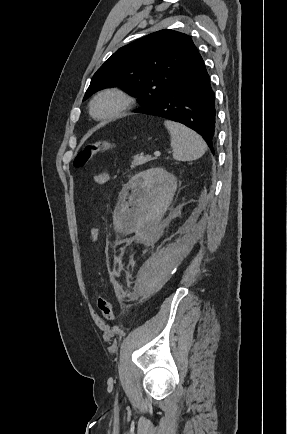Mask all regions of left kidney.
<instances>
[{
	"label": "left kidney",
	"mask_w": 287,
	"mask_h": 434,
	"mask_svg": "<svg viewBox=\"0 0 287 434\" xmlns=\"http://www.w3.org/2000/svg\"><path fill=\"white\" fill-rule=\"evenodd\" d=\"M131 189L129 203L134 204V220L147 219L153 210H165L171 203L177 189L175 176L162 168H151L140 172L127 183ZM125 211L130 212L125 204Z\"/></svg>",
	"instance_id": "5707ae66"
}]
</instances>
